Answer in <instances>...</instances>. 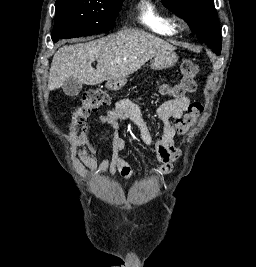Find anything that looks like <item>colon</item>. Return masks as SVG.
Segmentation results:
<instances>
[{"label":"colon","instance_id":"1","mask_svg":"<svg viewBox=\"0 0 256 267\" xmlns=\"http://www.w3.org/2000/svg\"><path fill=\"white\" fill-rule=\"evenodd\" d=\"M180 80L175 85L162 83L159 85L161 93L174 99H183L186 94L192 93L197 89L196 76L199 68L197 63L192 59H184L179 66ZM111 100L108 92L102 88H95L88 91L78 104L71 115L69 127L72 132L80 129L88 117L107 105ZM204 106L201 101L195 100L188 105L187 112L184 116L175 121V130L179 136H185L194 123L203 113Z\"/></svg>","mask_w":256,"mask_h":267}]
</instances>
